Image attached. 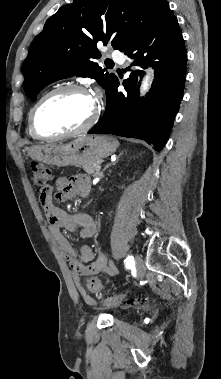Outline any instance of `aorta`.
<instances>
[{"mask_svg":"<svg viewBox=\"0 0 221 379\" xmlns=\"http://www.w3.org/2000/svg\"><path fill=\"white\" fill-rule=\"evenodd\" d=\"M149 76H146L145 77V79H144V81H143V83H142V86H141V92H146V91H148V89H149V86H150V84H149ZM151 83V82H150Z\"/></svg>","mask_w":221,"mask_h":379,"instance_id":"obj_1","label":"aorta"}]
</instances>
